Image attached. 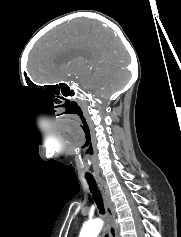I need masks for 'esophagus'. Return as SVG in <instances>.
<instances>
[{
  "mask_svg": "<svg viewBox=\"0 0 181 237\" xmlns=\"http://www.w3.org/2000/svg\"><path fill=\"white\" fill-rule=\"evenodd\" d=\"M100 190L103 196L106 215L109 221V234L110 237H117V220L114 212L113 204L110 198L109 190L103 180H99Z\"/></svg>",
  "mask_w": 181,
  "mask_h": 237,
  "instance_id": "34e87169",
  "label": "esophagus"
}]
</instances>
